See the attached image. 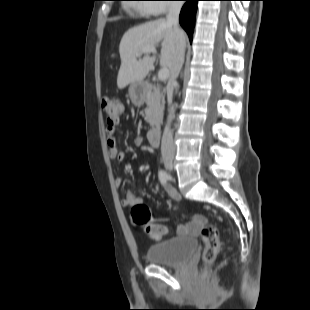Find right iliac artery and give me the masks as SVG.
Returning <instances> with one entry per match:
<instances>
[{"mask_svg":"<svg viewBox=\"0 0 310 310\" xmlns=\"http://www.w3.org/2000/svg\"><path fill=\"white\" fill-rule=\"evenodd\" d=\"M158 176H159V180L162 182V183H166L167 180H169L170 176L168 175V173L164 170H160L159 173H158Z\"/></svg>","mask_w":310,"mask_h":310,"instance_id":"1","label":"right iliac artery"}]
</instances>
